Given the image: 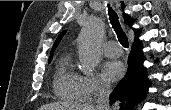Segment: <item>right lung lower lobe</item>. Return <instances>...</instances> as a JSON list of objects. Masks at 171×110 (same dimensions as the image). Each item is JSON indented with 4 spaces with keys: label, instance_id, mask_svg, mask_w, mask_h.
<instances>
[{
    "label": "right lung lower lobe",
    "instance_id": "1",
    "mask_svg": "<svg viewBox=\"0 0 171 110\" xmlns=\"http://www.w3.org/2000/svg\"><path fill=\"white\" fill-rule=\"evenodd\" d=\"M143 60L142 43L135 38L128 58V73L110 95L111 103L119 98L122 102L126 100V105L121 110H133L145 97L150 83L147 70L143 67Z\"/></svg>",
    "mask_w": 171,
    "mask_h": 110
}]
</instances>
